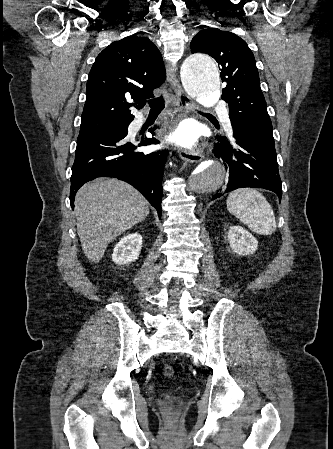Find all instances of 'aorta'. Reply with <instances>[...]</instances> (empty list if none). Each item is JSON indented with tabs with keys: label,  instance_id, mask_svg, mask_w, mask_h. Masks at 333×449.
<instances>
[{
	"label": "aorta",
	"instance_id": "1",
	"mask_svg": "<svg viewBox=\"0 0 333 449\" xmlns=\"http://www.w3.org/2000/svg\"><path fill=\"white\" fill-rule=\"evenodd\" d=\"M181 81L192 97L212 103L220 97V75L215 61L203 53L188 56L181 66ZM226 181V167L222 160L203 161L191 170L187 188L193 193L209 194L222 188Z\"/></svg>",
	"mask_w": 333,
	"mask_h": 449
}]
</instances>
